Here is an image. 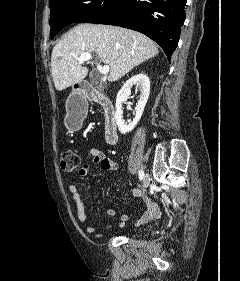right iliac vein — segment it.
<instances>
[{
	"label": "right iliac vein",
	"mask_w": 240,
	"mask_h": 281,
	"mask_svg": "<svg viewBox=\"0 0 240 281\" xmlns=\"http://www.w3.org/2000/svg\"><path fill=\"white\" fill-rule=\"evenodd\" d=\"M150 183V177L148 174H145L144 177H143V182H142V189H146L148 187Z\"/></svg>",
	"instance_id": "1"
}]
</instances>
